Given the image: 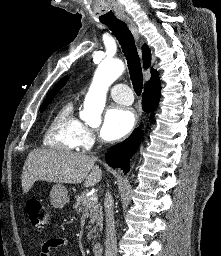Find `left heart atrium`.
Instances as JSON below:
<instances>
[{
	"instance_id": "1",
	"label": "left heart atrium",
	"mask_w": 221,
	"mask_h": 256,
	"mask_svg": "<svg viewBox=\"0 0 221 256\" xmlns=\"http://www.w3.org/2000/svg\"><path fill=\"white\" fill-rule=\"evenodd\" d=\"M134 123L135 117L130 109L111 105L104 115L101 136L107 141L117 140L129 133Z\"/></svg>"
}]
</instances>
